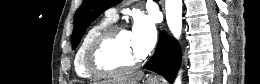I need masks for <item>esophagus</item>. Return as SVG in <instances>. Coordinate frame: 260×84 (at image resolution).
<instances>
[{
	"mask_svg": "<svg viewBox=\"0 0 260 84\" xmlns=\"http://www.w3.org/2000/svg\"><path fill=\"white\" fill-rule=\"evenodd\" d=\"M163 4H164V0H161V5L163 6ZM150 78H156V75H154V74H152V75H150Z\"/></svg>",
	"mask_w": 260,
	"mask_h": 84,
	"instance_id": "34e87169",
	"label": "esophagus"
}]
</instances>
